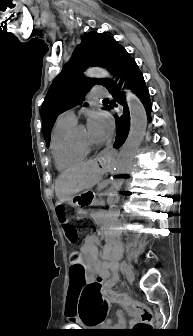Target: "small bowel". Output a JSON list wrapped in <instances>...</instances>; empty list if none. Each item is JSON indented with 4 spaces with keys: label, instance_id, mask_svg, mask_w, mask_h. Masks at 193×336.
Returning <instances> with one entry per match:
<instances>
[{
    "label": "small bowel",
    "instance_id": "c3829d8e",
    "mask_svg": "<svg viewBox=\"0 0 193 336\" xmlns=\"http://www.w3.org/2000/svg\"><path fill=\"white\" fill-rule=\"evenodd\" d=\"M120 254V245L113 242H109L103 252L100 253L98 237L89 235L84 239L79 250H75L70 254V260L72 263L80 264L86 271L104 282L106 288L105 296L108 300L124 304L129 300L128 295L111 290L119 279L118 258ZM79 291V287L72 280L68 291L69 306L66 309V316L70 319L77 316L76 304ZM117 317L119 321L124 320V315L121 311L117 312Z\"/></svg>",
    "mask_w": 193,
    "mask_h": 336
}]
</instances>
